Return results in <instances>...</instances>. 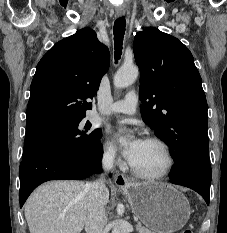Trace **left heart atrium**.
<instances>
[{
	"mask_svg": "<svg viewBox=\"0 0 227 233\" xmlns=\"http://www.w3.org/2000/svg\"><path fill=\"white\" fill-rule=\"evenodd\" d=\"M115 138L118 141H121L123 139V134L116 133ZM143 142H144L143 140L137 138L122 148V152L129 162H131L134 159L137 151L139 150Z\"/></svg>",
	"mask_w": 227,
	"mask_h": 233,
	"instance_id": "obj_1",
	"label": "left heart atrium"
}]
</instances>
